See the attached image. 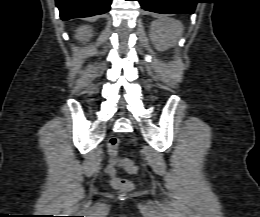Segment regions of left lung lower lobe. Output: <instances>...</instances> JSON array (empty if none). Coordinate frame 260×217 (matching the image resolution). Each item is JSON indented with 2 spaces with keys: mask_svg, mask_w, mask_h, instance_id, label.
I'll return each instance as SVG.
<instances>
[{
  "mask_svg": "<svg viewBox=\"0 0 260 217\" xmlns=\"http://www.w3.org/2000/svg\"><path fill=\"white\" fill-rule=\"evenodd\" d=\"M146 11L164 14H193L198 0H137Z\"/></svg>",
  "mask_w": 260,
  "mask_h": 217,
  "instance_id": "obj_1",
  "label": "left lung lower lobe"
}]
</instances>
